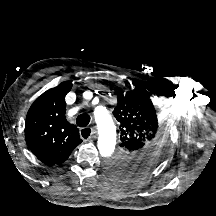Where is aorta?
<instances>
[{
    "instance_id": "762f6f07",
    "label": "aorta",
    "mask_w": 216,
    "mask_h": 216,
    "mask_svg": "<svg viewBox=\"0 0 216 216\" xmlns=\"http://www.w3.org/2000/svg\"><path fill=\"white\" fill-rule=\"evenodd\" d=\"M99 132L98 150L103 157H110L116 145V126L106 109L99 107L95 113Z\"/></svg>"
}]
</instances>
